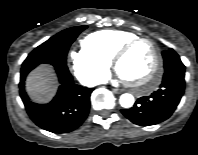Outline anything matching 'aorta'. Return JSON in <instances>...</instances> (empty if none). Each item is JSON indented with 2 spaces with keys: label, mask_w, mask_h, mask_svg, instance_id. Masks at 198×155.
I'll return each mask as SVG.
<instances>
[{
  "label": "aorta",
  "mask_w": 198,
  "mask_h": 155,
  "mask_svg": "<svg viewBox=\"0 0 198 155\" xmlns=\"http://www.w3.org/2000/svg\"><path fill=\"white\" fill-rule=\"evenodd\" d=\"M119 102L122 107L130 108L134 104V97L129 93H125L120 96Z\"/></svg>",
  "instance_id": "762f6f07"
}]
</instances>
